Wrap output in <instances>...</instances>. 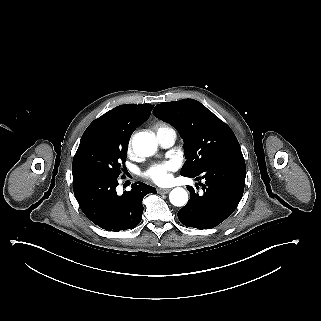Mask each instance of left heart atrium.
<instances>
[{"label":"left heart atrium","mask_w":321,"mask_h":321,"mask_svg":"<svg viewBox=\"0 0 321 321\" xmlns=\"http://www.w3.org/2000/svg\"><path fill=\"white\" fill-rule=\"evenodd\" d=\"M179 167V162L169 159L151 165L145 172V177L158 184H166L171 180V174Z\"/></svg>","instance_id":"1"}]
</instances>
